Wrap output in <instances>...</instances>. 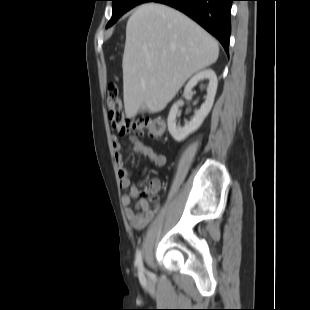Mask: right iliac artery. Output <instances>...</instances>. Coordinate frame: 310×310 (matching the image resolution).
I'll return each instance as SVG.
<instances>
[{
    "label": "right iliac artery",
    "mask_w": 310,
    "mask_h": 310,
    "mask_svg": "<svg viewBox=\"0 0 310 310\" xmlns=\"http://www.w3.org/2000/svg\"><path fill=\"white\" fill-rule=\"evenodd\" d=\"M136 266L138 267V272L140 276H143V262H142V252L141 249H138L136 252V261H135Z\"/></svg>",
    "instance_id": "1"
}]
</instances>
